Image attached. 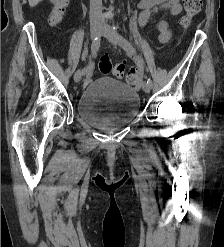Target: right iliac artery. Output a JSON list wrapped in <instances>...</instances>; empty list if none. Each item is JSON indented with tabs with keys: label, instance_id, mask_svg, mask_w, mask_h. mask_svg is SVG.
I'll return each instance as SVG.
<instances>
[{
	"label": "right iliac artery",
	"instance_id": "right-iliac-artery-1",
	"mask_svg": "<svg viewBox=\"0 0 224 247\" xmlns=\"http://www.w3.org/2000/svg\"><path fill=\"white\" fill-rule=\"evenodd\" d=\"M100 46V36H97L96 38H94L92 45H91V54L93 57L96 56V53L99 49ZM92 71V65H88L87 67H85L84 69H82V73L83 75H90Z\"/></svg>",
	"mask_w": 224,
	"mask_h": 247
}]
</instances>
